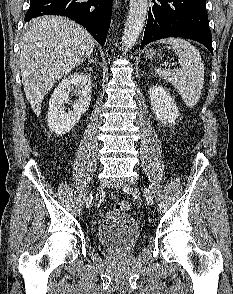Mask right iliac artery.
<instances>
[{"mask_svg":"<svg viewBox=\"0 0 233 294\" xmlns=\"http://www.w3.org/2000/svg\"><path fill=\"white\" fill-rule=\"evenodd\" d=\"M92 200H93V196H92V194H91V195L87 198V202H86L87 207H90Z\"/></svg>","mask_w":233,"mask_h":294,"instance_id":"right-iliac-artery-1","label":"right iliac artery"}]
</instances>
